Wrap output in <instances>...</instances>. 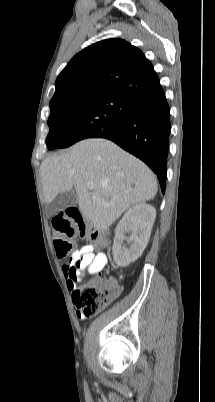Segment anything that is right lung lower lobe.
<instances>
[{
	"label": "right lung lower lobe",
	"instance_id": "right-lung-lower-lobe-1",
	"mask_svg": "<svg viewBox=\"0 0 215 402\" xmlns=\"http://www.w3.org/2000/svg\"><path fill=\"white\" fill-rule=\"evenodd\" d=\"M170 131V108L162 90L136 100L121 122L93 137L109 139L145 162L164 194Z\"/></svg>",
	"mask_w": 215,
	"mask_h": 402
}]
</instances>
